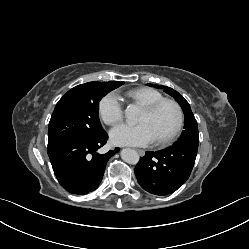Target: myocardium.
I'll return each mask as SVG.
<instances>
[{"label": "myocardium", "instance_id": "1", "mask_svg": "<svg viewBox=\"0 0 249 249\" xmlns=\"http://www.w3.org/2000/svg\"><path fill=\"white\" fill-rule=\"evenodd\" d=\"M171 105L174 107L176 114H177V120L174 128L171 130L170 133H168L166 136L156 139L157 144L159 145H166L171 143L180 133L183 124H184V112L180 104L173 100V99H168V98H163L161 100H158L156 102H153L151 104H147L142 106V108L148 112V113H154L158 109H160L164 105Z\"/></svg>", "mask_w": 249, "mask_h": 249}]
</instances>
